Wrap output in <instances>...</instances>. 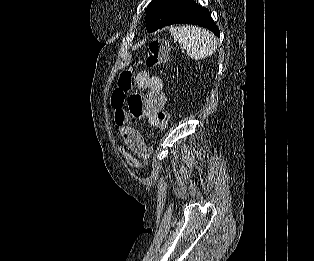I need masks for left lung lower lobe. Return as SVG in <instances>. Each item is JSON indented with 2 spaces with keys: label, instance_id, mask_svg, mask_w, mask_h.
Instances as JSON below:
<instances>
[{
  "label": "left lung lower lobe",
  "instance_id": "0a47b994",
  "mask_svg": "<svg viewBox=\"0 0 314 261\" xmlns=\"http://www.w3.org/2000/svg\"><path fill=\"white\" fill-rule=\"evenodd\" d=\"M182 23L205 27L216 36H219V29L211 18L209 11L196 4L194 0H184L176 14L165 26Z\"/></svg>",
  "mask_w": 314,
  "mask_h": 261
}]
</instances>
